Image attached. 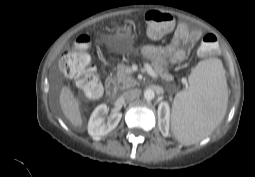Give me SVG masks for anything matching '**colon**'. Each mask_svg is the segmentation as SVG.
I'll return each instance as SVG.
<instances>
[{
	"label": "colon",
	"instance_id": "obj_1",
	"mask_svg": "<svg viewBox=\"0 0 255 177\" xmlns=\"http://www.w3.org/2000/svg\"><path fill=\"white\" fill-rule=\"evenodd\" d=\"M144 18L147 33L152 39L161 38L174 25V17L167 12L149 10ZM217 45V37L213 34H207L200 43L199 51L208 54L214 52ZM89 47L90 38L87 35H80L68 47L60 59L59 66L66 76L75 79L79 89L88 97L95 98L100 95L102 87L97 70L91 63L88 53Z\"/></svg>",
	"mask_w": 255,
	"mask_h": 177
}]
</instances>
